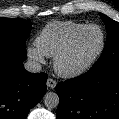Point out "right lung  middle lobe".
I'll list each match as a JSON object with an SVG mask.
<instances>
[{
  "label": "right lung middle lobe",
  "instance_id": "right-lung-middle-lobe-1",
  "mask_svg": "<svg viewBox=\"0 0 119 119\" xmlns=\"http://www.w3.org/2000/svg\"><path fill=\"white\" fill-rule=\"evenodd\" d=\"M32 23L21 18H0V51L26 54L25 42Z\"/></svg>",
  "mask_w": 119,
  "mask_h": 119
}]
</instances>
